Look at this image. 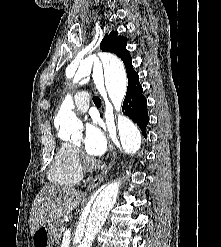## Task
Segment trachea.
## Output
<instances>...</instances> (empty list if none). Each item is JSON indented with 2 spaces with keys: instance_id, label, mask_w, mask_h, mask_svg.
I'll list each match as a JSON object with an SVG mask.
<instances>
[{
  "instance_id": "1",
  "label": "trachea",
  "mask_w": 221,
  "mask_h": 247,
  "mask_svg": "<svg viewBox=\"0 0 221 247\" xmlns=\"http://www.w3.org/2000/svg\"><path fill=\"white\" fill-rule=\"evenodd\" d=\"M93 102L96 106H101V99L99 97L94 96Z\"/></svg>"
}]
</instances>
